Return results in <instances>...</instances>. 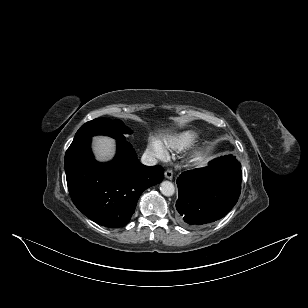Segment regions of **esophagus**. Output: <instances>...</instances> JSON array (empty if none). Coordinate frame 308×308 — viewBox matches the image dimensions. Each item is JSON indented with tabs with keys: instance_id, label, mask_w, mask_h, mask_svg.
<instances>
[{
	"instance_id": "esophagus-1",
	"label": "esophagus",
	"mask_w": 308,
	"mask_h": 308,
	"mask_svg": "<svg viewBox=\"0 0 308 308\" xmlns=\"http://www.w3.org/2000/svg\"><path fill=\"white\" fill-rule=\"evenodd\" d=\"M164 175H165V178H167V179H169V180H171V179L173 178V172H172V170H170V169H167V170L165 171Z\"/></svg>"
}]
</instances>
